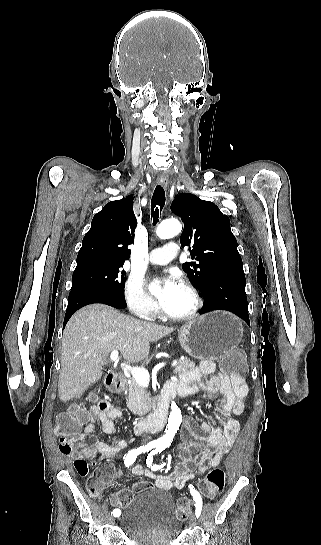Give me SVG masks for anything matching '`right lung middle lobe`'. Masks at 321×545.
Here are the masks:
<instances>
[{"label":"right lung middle lobe","instance_id":"dd1d6c3e","mask_svg":"<svg viewBox=\"0 0 321 545\" xmlns=\"http://www.w3.org/2000/svg\"><path fill=\"white\" fill-rule=\"evenodd\" d=\"M123 265L96 264L76 268L72 276V289L97 288L124 296L126 272Z\"/></svg>","mask_w":321,"mask_h":545}]
</instances>
